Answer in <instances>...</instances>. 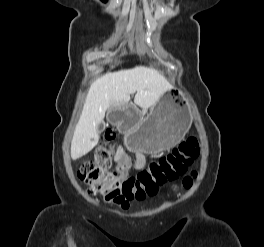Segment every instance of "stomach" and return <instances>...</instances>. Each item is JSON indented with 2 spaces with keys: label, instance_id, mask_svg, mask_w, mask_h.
Instances as JSON below:
<instances>
[{
  "label": "stomach",
  "instance_id": "stomach-1",
  "mask_svg": "<svg viewBox=\"0 0 264 247\" xmlns=\"http://www.w3.org/2000/svg\"><path fill=\"white\" fill-rule=\"evenodd\" d=\"M182 90L171 86L165 97L157 101L146 117L128 104L113 105L109 120L125 132L126 145L144 153H157L174 146L183 136L189 123L186 101Z\"/></svg>",
  "mask_w": 264,
  "mask_h": 247
}]
</instances>
